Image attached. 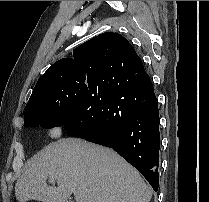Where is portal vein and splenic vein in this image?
Instances as JSON below:
<instances>
[{"label": "portal vein and splenic vein", "mask_w": 209, "mask_h": 202, "mask_svg": "<svg viewBox=\"0 0 209 202\" xmlns=\"http://www.w3.org/2000/svg\"><path fill=\"white\" fill-rule=\"evenodd\" d=\"M49 181H50V182H54L55 179H54V178H49Z\"/></svg>", "instance_id": "1"}]
</instances>
